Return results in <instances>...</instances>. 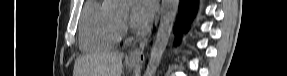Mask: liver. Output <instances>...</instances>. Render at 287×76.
<instances>
[{"mask_svg":"<svg viewBox=\"0 0 287 76\" xmlns=\"http://www.w3.org/2000/svg\"><path fill=\"white\" fill-rule=\"evenodd\" d=\"M124 54L103 50L75 61L74 76H121Z\"/></svg>","mask_w":287,"mask_h":76,"instance_id":"liver-1","label":"liver"}]
</instances>
